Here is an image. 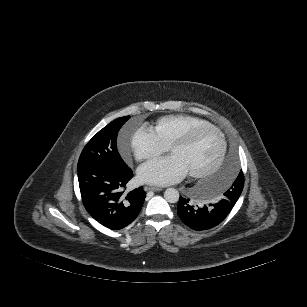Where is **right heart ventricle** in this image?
<instances>
[{"instance_id": "right-heart-ventricle-1", "label": "right heart ventricle", "mask_w": 307, "mask_h": 307, "mask_svg": "<svg viewBox=\"0 0 307 307\" xmlns=\"http://www.w3.org/2000/svg\"><path fill=\"white\" fill-rule=\"evenodd\" d=\"M210 124L207 120L188 114L166 115L154 125V132L167 147L170 143L191 128Z\"/></svg>"}]
</instances>
